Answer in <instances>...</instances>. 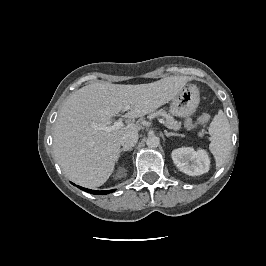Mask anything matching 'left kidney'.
Instances as JSON below:
<instances>
[{"label": "left kidney", "mask_w": 266, "mask_h": 266, "mask_svg": "<svg viewBox=\"0 0 266 266\" xmlns=\"http://www.w3.org/2000/svg\"><path fill=\"white\" fill-rule=\"evenodd\" d=\"M171 156L174 164L187 175L197 176L209 171L210 159L205 150L182 147L173 150Z\"/></svg>", "instance_id": "5707ae66"}]
</instances>
